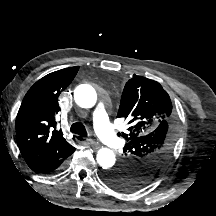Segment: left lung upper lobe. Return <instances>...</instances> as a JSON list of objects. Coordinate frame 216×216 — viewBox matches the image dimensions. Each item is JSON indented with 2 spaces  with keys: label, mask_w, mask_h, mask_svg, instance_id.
I'll list each match as a JSON object with an SVG mask.
<instances>
[{
  "label": "left lung upper lobe",
  "mask_w": 216,
  "mask_h": 216,
  "mask_svg": "<svg viewBox=\"0 0 216 216\" xmlns=\"http://www.w3.org/2000/svg\"><path fill=\"white\" fill-rule=\"evenodd\" d=\"M118 117L128 121L124 155L104 181L119 191H134L153 181L166 165L178 137V120L168 93L156 81L133 75L126 83Z\"/></svg>",
  "instance_id": "obj_1"
}]
</instances>
